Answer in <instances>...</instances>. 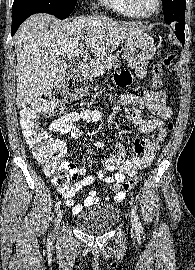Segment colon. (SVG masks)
<instances>
[{
	"mask_svg": "<svg viewBox=\"0 0 195 270\" xmlns=\"http://www.w3.org/2000/svg\"><path fill=\"white\" fill-rule=\"evenodd\" d=\"M175 54H166L153 67L152 87L147 94V101L154 106L165 103L167 94L162 80L163 69L175 61ZM87 89L86 81L82 77H74L62 85L55 87L42 95L30 106L21 111V127L28 146L32 149L36 160L43 167L44 172L52 178V183L60 190L68 189L70 177L64 168L62 158L66 147L58 139H53L40 128V115H60L65 106L73 99L84 95ZM173 128L172 123H167L165 131ZM139 181L137 175L126 180L121 190L126 192L132 189Z\"/></svg>",
	"mask_w": 195,
	"mask_h": 270,
	"instance_id": "obj_1",
	"label": "colon"
}]
</instances>
